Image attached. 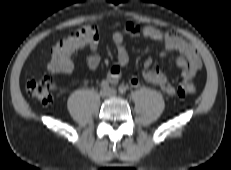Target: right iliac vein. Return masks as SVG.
<instances>
[{"mask_svg":"<svg viewBox=\"0 0 231 170\" xmlns=\"http://www.w3.org/2000/svg\"><path fill=\"white\" fill-rule=\"evenodd\" d=\"M100 96L102 97V98H105V97H107L108 96V91L106 90V89H102V90H100Z\"/></svg>","mask_w":231,"mask_h":170,"instance_id":"63e3f726","label":"right iliac vein"}]
</instances>
